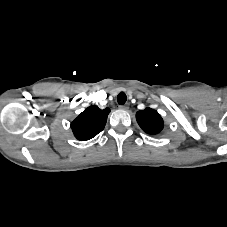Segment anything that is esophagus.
<instances>
[{
    "label": "esophagus",
    "mask_w": 227,
    "mask_h": 227,
    "mask_svg": "<svg viewBox=\"0 0 227 227\" xmlns=\"http://www.w3.org/2000/svg\"><path fill=\"white\" fill-rule=\"evenodd\" d=\"M119 108L122 109V110H127L128 106L127 105H120Z\"/></svg>",
    "instance_id": "1"
}]
</instances>
